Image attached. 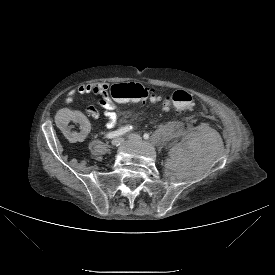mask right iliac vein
<instances>
[{
	"label": "right iliac vein",
	"mask_w": 275,
	"mask_h": 275,
	"mask_svg": "<svg viewBox=\"0 0 275 275\" xmlns=\"http://www.w3.org/2000/svg\"><path fill=\"white\" fill-rule=\"evenodd\" d=\"M123 142V138L121 137H116L112 140L111 144L114 147H118L121 143Z\"/></svg>",
	"instance_id": "right-iliac-vein-1"
}]
</instances>
